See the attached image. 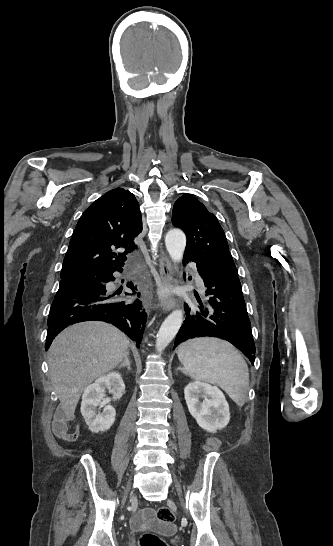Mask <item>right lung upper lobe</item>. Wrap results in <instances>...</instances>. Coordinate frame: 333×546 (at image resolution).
Segmentation results:
<instances>
[{
  "label": "right lung upper lobe",
  "instance_id": "right-lung-upper-lobe-1",
  "mask_svg": "<svg viewBox=\"0 0 333 546\" xmlns=\"http://www.w3.org/2000/svg\"><path fill=\"white\" fill-rule=\"evenodd\" d=\"M141 231L142 218L134 194L123 188L108 191L80 217L63 261L62 280L122 269L126 255L137 248L133 239ZM120 247L125 251L116 254L114 250Z\"/></svg>",
  "mask_w": 333,
  "mask_h": 546
}]
</instances>
